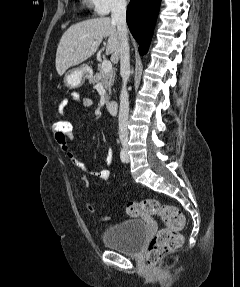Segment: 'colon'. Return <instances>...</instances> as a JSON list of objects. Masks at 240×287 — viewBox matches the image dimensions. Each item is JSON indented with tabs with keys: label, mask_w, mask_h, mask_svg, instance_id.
Listing matches in <instances>:
<instances>
[{
	"label": "colon",
	"mask_w": 240,
	"mask_h": 287,
	"mask_svg": "<svg viewBox=\"0 0 240 287\" xmlns=\"http://www.w3.org/2000/svg\"><path fill=\"white\" fill-rule=\"evenodd\" d=\"M52 133L55 139L65 141L71 134L72 124L60 118L52 122ZM81 186L87 188L88 181L85 177L80 179ZM88 209L95 212L92 204H88ZM126 213L130 217L140 215H156L161 218L165 228L161 229L151 240L146 252V262L151 267H156L163 256L179 248L182 244L181 230L185 226V217L174 205L161 204L155 199H146L140 202H130L127 204ZM102 220H107L106 216H99Z\"/></svg>",
	"instance_id": "obj_1"
}]
</instances>
